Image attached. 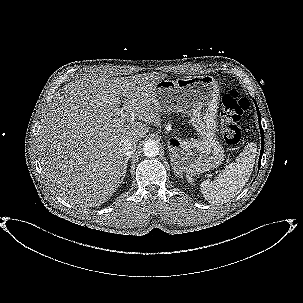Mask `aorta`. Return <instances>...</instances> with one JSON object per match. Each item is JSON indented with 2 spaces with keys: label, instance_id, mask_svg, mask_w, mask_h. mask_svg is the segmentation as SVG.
<instances>
[{
  "label": "aorta",
  "instance_id": "762f6f07",
  "mask_svg": "<svg viewBox=\"0 0 303 303\" xmlns=\"http://www.w3.org/2000/svg\"><path fill=\"white\" fill-rule=\"evenodd\" d=\"M160 148L155 140H148L144 143L143 152L147 157H155L159 154Z\"/></svg>",
  "mask_w": 303,
  "mask_h": 303
}]
</instances>
